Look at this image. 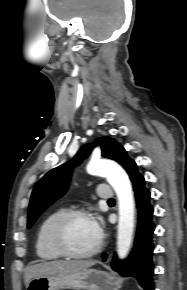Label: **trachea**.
Wrapping results in <instances>:
<instances>
[{
	"label": "trachea",
	"mask_w": 187,
	"mask_h": 290,
	"mask_svg": "<svg viewBox=\"0 0 187 290\" xmlns=\"http://www.w3.org/2000/svg\"><path fill=\"white\" fill-rule=\"evenodd\" d=\"M114 201V199L109 200V202Z\"/></svg>",
	"instance_id": "trachea-1"
}]
</instances>
